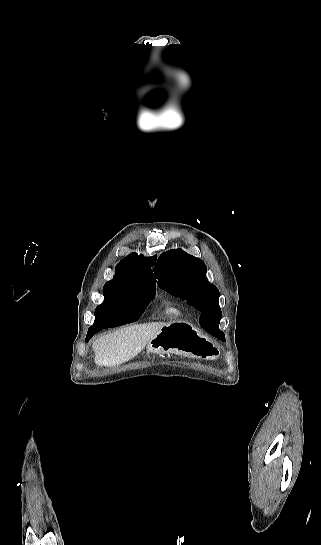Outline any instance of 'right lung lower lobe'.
Returning <instances> with one entry per match:
<instances>
[{"label": "right lung lower lobe", "mask_w": 321, "mask_h": 545, "mask_svg": "<svg viewBox=\"0 0 321 545\" xmlns=\"http://www.w3.org/2000/svg\"><path fill=\"white\" fill-rule=\"evenodd\" d=\"M96 313H98L101 323H94L89 328L86 341L104 328L120 326L136 321L140 313V303L138 300L131 299L114 301L104 306H98Z\"/></svg>", "instance_id": "1"}]
</instances>
